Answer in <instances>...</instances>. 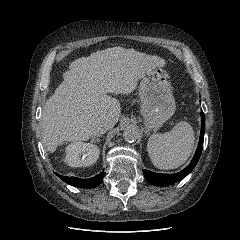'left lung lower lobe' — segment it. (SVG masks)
<instances>
[{
    "label": "left lung lower lobe",
    "mask_w": 240,
    "mask_h": 240,
    "mask_svg": "<svg viewBox=\"0 0 240 240\" xmlns=\"http://www.w3.org/2000/svg\"><path fill=\"white\" fill-rule=\"evenodd\" d=\"M204 132H205V118L203 111H201V133L199 144L194 155V158L192 159L190 164L185 169L175 174H160L144 170L143 173L146 180L154 186H167L174 184L185 178L198 163V160L203 149Z\"/></svg>",
    "instance_id": "0a47b994"
}]
</instances>
